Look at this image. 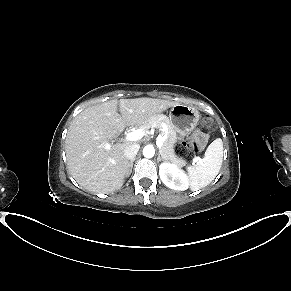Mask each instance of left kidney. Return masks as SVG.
Listing matches in <instances>:
<instances>
[{
    "label": "left kidney",
    "mask_w": 291,
    "mask_h": 291,
    "mask_svg": "<svg viewBox=\"0 0 291 291\" xmlns=\"http://www.w3.org/2000/svg\"><path fill=\"white\" fill-rule=\"evenodd\" d=\"M161 181L169 188L184 191L189 187L187 174L173 163L164 162L159 166Z\"/></svg>",
    "instance_id": "5707ae66"
}]
</instances>
